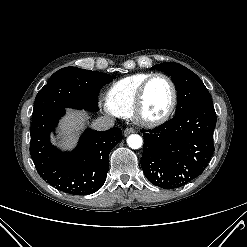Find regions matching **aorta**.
I'll return each instance as SVG.
<instances>
[{
	"label": "aorta",
	"mask_w": 247,
	"mask_h": 247,
	"mask_svg": "<svg viewBox=\"0 0 247 247\" xmlns=\"http://www.w3.org/2000/svg\"><path fill=\"white\" fill-rule=\"evenodd\" d=\"M127 144L132 149H139L143 144L142 137L138 134H131L127 138Z\"/></svg>",
	"instance_id": "aorta-1"
}]
</instances>
